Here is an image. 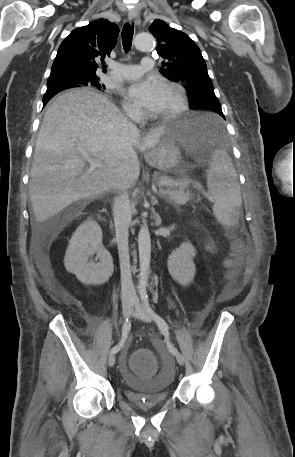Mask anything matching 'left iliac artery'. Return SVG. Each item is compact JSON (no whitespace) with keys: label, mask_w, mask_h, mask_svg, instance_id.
Segmentation results:
<instances>
[{"label":"left iliac artery","mask_w":295,"mask_h":457,"mask_svg":"<svg viewBox=\"0 0 295 457\" xmlns=\"http://www.w3.org/2000/svg\"><path fill=\"white\" fill-rule=\"evenodd\" d=\"M142 299H143L144 304H145V306L147 308V311L153 317V319L155 320L156 324L158 325L160 331L165 336V339H166V342H167V347H168L169 351L171 353H173V354H177L178 350L174 347V345L169 340V327H168V324L166 323V321L162 317H160L157 313H155L151 309V307L149 306L147 295L144 294L142 296Z\"/></svg>","instance_id":"obj_1"}]
</instances>
